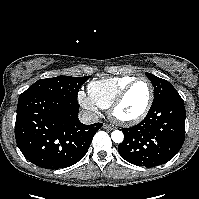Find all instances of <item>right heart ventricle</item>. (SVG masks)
<instances>
[{
	"label": "right heart ventricle",
	"instance_id": "1",
	"mask_svg": "<svg viewBox=\"0 0 199 199\" xmlns=\"http://www.w3.org/2000/svg\"><path fill=\"white\" fill-rule=\"evenodd\" d=\"M133 79L132 76H121L93 81L88 85V95L99 108L107 109Z\"/></svg>",
	"mask_w": 199,
	"mask_h": 199
}]
</instances>
